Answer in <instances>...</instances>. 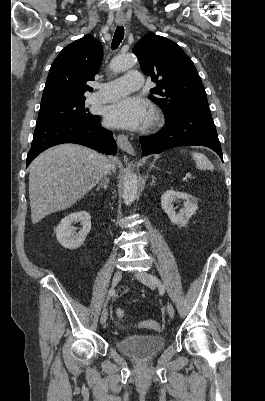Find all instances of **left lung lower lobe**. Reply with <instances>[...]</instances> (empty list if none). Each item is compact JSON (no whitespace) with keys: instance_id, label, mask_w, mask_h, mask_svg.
Listing matches in <instances>:
<instances>
[{"instance_id":"0a47b994","label":"left lung lower lobe","mask_w":265,"mask_h":401,"mask_svg":"<svg viewBox=\"0 0 265 401\" xmlns=\"http://www.w3.org/2000/svg\"><path fill=\"white\" fill-rule=\"evenodd\" d=\"M165 118L166 125L158 133L140 137L143 155L157 154L177 146L201 145L211 148L222 159L210 110L190 109Z\"/></svg>"}]
</instances>
